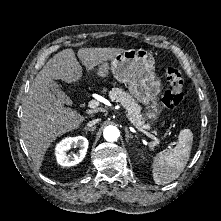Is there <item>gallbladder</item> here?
I'll return each mask as SVG.
<instances>
[{
    "label": "gallbladder",
    "instance_id": "bac80fb5",
    "mask_svg": "<svg viewBox=\"0 0 221 221\" xmlns=\"http://www.w3.org/2000/svg\"><path fill=\"white\" fill-rule=\"evenodd\" d=\"M48 87L63 103H66L68 105L72 103L70 98L65 95V93L54 81L49 82Z\"/></svg>",
    "mask_w": 221,
    "mask_h": 221
}]
</instances>
